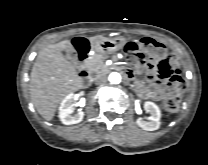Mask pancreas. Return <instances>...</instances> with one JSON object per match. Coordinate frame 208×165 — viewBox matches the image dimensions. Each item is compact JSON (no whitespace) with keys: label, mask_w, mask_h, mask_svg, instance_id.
Wrapping results in <instances>:
<instances>
[{"label":"pancreas","mask_w":208,"mask_h":165,"mask_svg":"<svg viewBox=\"0 0 208 165\" xmlns=\"http://www.w3.org/2000/svg\"><path fill=\"white\" fill-rule=\"evenodd\" d=\"M105 56L102 54H95L91 58L90 70L93 73L99 74L108 70V67L104 64Z\"/></svg>","instance_id":"1"}]
</instances>
